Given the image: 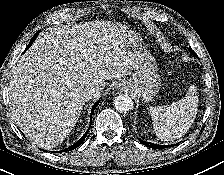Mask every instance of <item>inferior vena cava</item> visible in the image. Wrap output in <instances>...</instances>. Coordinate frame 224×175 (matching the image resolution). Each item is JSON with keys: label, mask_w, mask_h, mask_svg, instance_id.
Listing matches in <instances>:
<instances>
[{"label": "inferior vena cava", "mask_w": 224, "mask_h": 175, "mask_svg": "<svg viewBox=\"0 0 224 175\" xmlns=\"http://www.w3.org/2000/svg\"><path fill=\"white\" fill-rule=\"evenodd\" d=\"M99 94H100L99 90L96 89L95 87H88L83 92V98L85 100H90L91 98H93Z\"/></svg>", "instance_id": "inferior-vena-cava-1"}]
</instances>
